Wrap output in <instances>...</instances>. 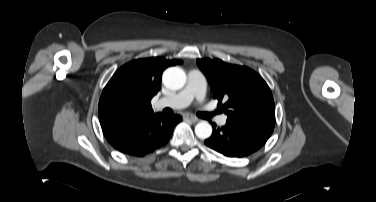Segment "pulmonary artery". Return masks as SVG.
<instances>
[{
    "label": "pulmonary artery",
    "mask_w": 376,
    "mask_h": 202,
    "mask_svg": "<svg viewBox=\"0 0 376 202\" xmlns=\"http://www.w3.org/2000/svg\"><path fill=\"white\" fill-rule=\"evenodd\" d=\"M206 91L205 77L201 71L194 69L188 73L187 85L177 94L170 97L161 98L156 102L158 108L171 107V108H184L188 106L194 99L200 103H204ZM203 110L207 113H213L211 109L203 104ZM227 117L220 116L218 121L221 125L226 123Z\"/></svg>",
    "instance_id": "obj_1"
}]
</instances>
